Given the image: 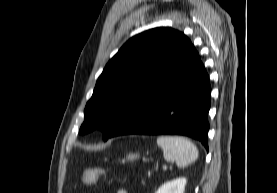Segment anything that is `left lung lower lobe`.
Masks as SVG:
<instances>
[{
	"label": "left lung lower lobe",
	"instance_id": "left-lung-lower-lobe-1",
	"mask_svg": "<svg viewBox=\"0 0 277 193\" xmlns=\"http://www.w3.org/2000/svg\"><path fill=\"white\" fill-rule=\"evenodd\" d=\"M211 87L196 50L166 81L141 100L109 138L127 134L185 135L208 150Z\"/></svg>",
	"mask_w": 277,
	"mask_h": 193
}]
</instances>
